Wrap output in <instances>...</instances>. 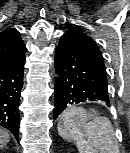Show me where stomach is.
Segmentation results:
<instances>
[{"label":"stomach","mask_w":130,"mask_h":153,"mask_svg":"<svg viewBox=\"0 0 130 153\" xmlns=\"http://www.w3.org/2000/svg\"><path fill=\"white\" fill-rule=\"evenodd\" d=\"M87 112H88V111H87ZM88 113H89V116H90L91 118L97 115V113H96L94 110H91V111L88 112Z\"/></svg>","instance_id":"0dacf381"}]
</instances>
